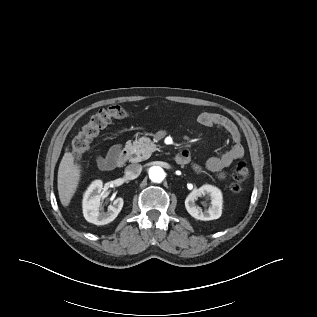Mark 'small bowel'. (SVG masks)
<instances>
[{"instance_id":"c3829d8e","label":"small bowel","mask_w":317,"mask_h":317,"mask_svg":"<svg viewBox=\"0 0 317 317\" xmlns=\"http://www.w3.org/2000/svg\"><path fill=\"white\" fill-rule=\"evenodd\" d=\"M197 121L203 126H218L224 129L234 142V145L225 153L220 156L210 157L204 163V168L207 171L216 173L219 178L223 179L225 178L224 170L228 168L234 161L241 159L245 154L244 147L241 144L240 130L231 119L219 113L201 112L197 116ZM118 148V146L112 147L105 157L98 156L96 159L97 165L101 169H105L107 161L115 157ZM190 161L191 157L189 155L188 160L184 164H187ZM193 166L196 171L202 172L201 166L197 164H194Z\"/></svg>"}]
</instances>
